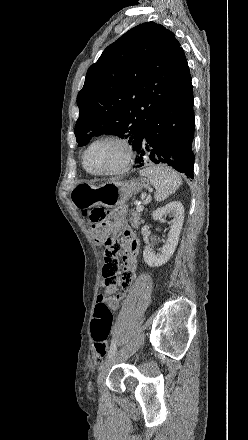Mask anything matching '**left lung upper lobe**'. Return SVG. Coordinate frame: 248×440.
Instances as JSON below:
<instances>
[{
    "label": "left lung upper lobe",
    "mask_w": 248,
    "mask_h": 440,
    "mask_svg": "<svg viewBox=\"0 0 248 440\" xmlns=\"http://www.w3.org/2000/svg\"><path fill=\"white\" fill-rule=\"evenodd\" d=\"M191 82L183 49L160 24H140L109 45L78 93V146L101 134L128 138L135 147L148 122Z\"/></svg>",
    "instance_id": "5c2ea615"
}]
</instances>
